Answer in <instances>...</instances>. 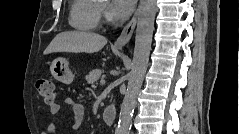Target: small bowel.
Masks as SVG:
<instances>
[{
  "label": "small bowel",
  "instance_id": "1",
  "mask_svg": "<svg viewBox=\"0 0 239 134\" xmlns=\"http://www.w3.org/2000/svg\"><path fill=\"white\" fill-rule=\"evenodd\" d=\"M67 104L71 106L72 114H73V127L74 128H79L81 125L83 119H84V114H85V109L84 106L81 103H78L74 101L73 99H67ZM61 110V106L57 103H54L50 106V114L52 115H57ZM56 130V125L55 123H51L48 128V134H55Z\"/></svg>",
  "mask_w": 239,
  "mask_h": 134
}]
</instances>
